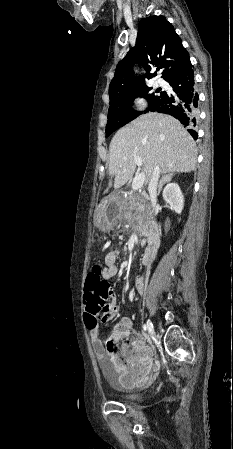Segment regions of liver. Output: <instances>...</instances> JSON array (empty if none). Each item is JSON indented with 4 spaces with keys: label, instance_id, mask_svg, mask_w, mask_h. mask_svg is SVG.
<instances>
[{
    "label": "liver",
    "instance_id": "1",
    "mask_svg": "<svg viewBox=\"0 0 233 449\" xmlns=\"http://www.w3.org/2000/svg\"><path fill=\"white\" fill-rule=\"evenodd\" d=\"M142 159L145 182L155 167L160 173H186L195 170L197 148L183 125L162 113H146L119 129L109 146V175L114 188L129 181L136 169L134 157Z\"/></svg>",
    "mask_w": 233,
    "mask_h": 449
}]
</instances>
